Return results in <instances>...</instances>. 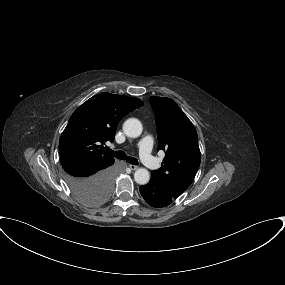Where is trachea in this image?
<instances>
[{
	"label": "trachea",
	"mask_w": 285,
	"mask_h": 285,
	"mask_svg": "<svg viewBox=\"0 0 285 285\" xmlns=\"http://www.w3.org/2000/svg\"><path fill=\"white\" fill-rule=\"evenodd\" d=\"M107 150L117 159L126 160L130 164L138 165V160L136 158L127 156L123 151H113L110 148H108Z\"/></svg>",
	"instance_id": "obj_1"
}]
</instances>
